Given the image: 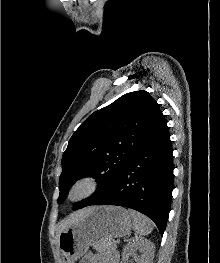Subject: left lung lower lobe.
I'll list each match as a JSON object with an SVG mask.
<instances>
[{"instance_id": "0a47b994", "label": "left lung lower lobe", "mask_w": 220, "mask_h": 263, "mask_svg": "<svg viewBox=\"0 0 220 263\" xmlns=\"http://www.w3.org/2000/svg\"><path fill=\"white\" fill-rule=\"evenodd\" d=\"M172 151L164 122L134 152L113 184L89 205H117L137 210L152 219L163 235L173 189Z\"/></svg>"}]
</instances>
